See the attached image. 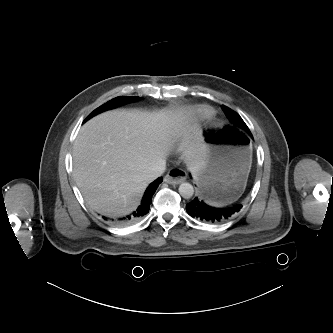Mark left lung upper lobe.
Masks as SVG:
<instances>
[{
    "mask_svg": "<svg viewBox=\"0 0 333 333\" xmlns=\"http://www.w3.org/2000/svg\"><path fill=\"white\" fill-rule=\"evenodd\" d=\"M223 110L225 111L229 121L231 122V127L232 129L240 133L241 135H251V132L245 122L242 120V118L239 116L238 113L235 111L231 110L230 108L222 105Z\"/></svg>",
    "mask_w": 333,
    "mask_h": 333,
    "instance_id": "5c2ea615",
    "label": "left lung upper lobe"
}]
</instances>
